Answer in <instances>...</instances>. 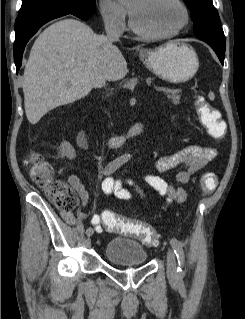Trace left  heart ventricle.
Returning a JSON list of instances; mask_svg holds the SVG:
<instances>
[{"mask_svg":"<svg viewBox=\"0 0 245 319\" xmlns=\"http://www.w3.org/2000/svg\"><path fill=\"white\" fill-rule=\"evenodd\" d=\"M128 7L137 26L151 33L174 31L184 18L173 0H129Z\"/></svg>","mask_w":245,"mask_h":319,"instance_id":"left-heart-ventricle-1","label":"left heart ventricle"}]
</instances>
